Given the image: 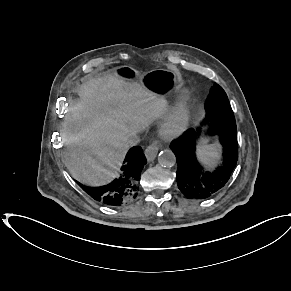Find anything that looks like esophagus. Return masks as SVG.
<instances>
[{
    "label": "esophagus",
    "instance_id": "obj_1",
    "mask_svg": "<svg viewBox=\"0 0 291 291\" xmlns=\"http://www.w3.org/2000/svg\"><path fill=\"white\" fill-rule=\"evenodd\" d=\"M160 148L159 141L155 140L153 141L145 150V156L148 161H153L158 153V150Z\"/></svg>",
    "mask_w": 291,
    "mask_h": 291
}]
</instances>
